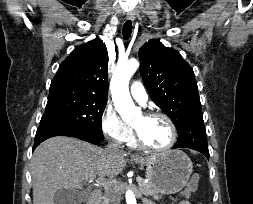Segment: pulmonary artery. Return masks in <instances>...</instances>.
<instances>
[{
	"instance_id": "e3ab8cb5",
	"label": "pulmonary artery",
	"mask_w": 253,
	"mask_h": 204,
	"mask_svg": "<svg viewBox=\"0 0 253 204\" xmlns=\"http://www.w3.org/2000/svg\"><path fill=\"white\" fill-rule=\"evenodd\" d=\"M130 94L136 102L141 105H146L148 101V94L141 82L134 81L132 83L130 86Z\"/></svg>"
}]
</instances>
